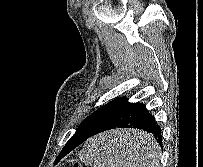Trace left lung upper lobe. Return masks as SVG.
<instances>
[{"mask_svg":"<svg viewBox=\"0 0 203 167\" xmlns=\"http://www.w3.org/2000/svg\"><path fill=\"white\" fill-rule=\"evenodd\" d=\"M119 100L120 98H116L115 100L107 103L106 105L102 106L94 113H92L90 116H88L77 128L75 134L72 137L78 136L80 134L86 135L93 132L98 127V125L108 116V114L112 111ZM64 156L59 155V157L61 158Z\"/></svg>","mask_w":203,"mask_h":167,"instance_id":"obj_1","label":"left lung upper lobe"}]
</instances>
